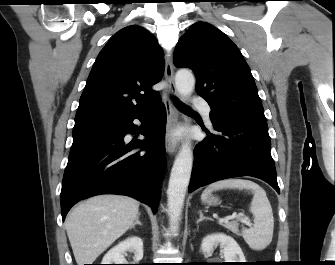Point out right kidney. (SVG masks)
Instances as JSON below:
<instances>
[{"instance_id": "obj_1", "label": "right kidney", "mask_w": 335, "mask_h": 265, "mask_svg": "<svg viewBox=\"0 0 335 265\" xmlns=\"http://www.w3.org/2000/svg\"><path fill=\"white\" fill-rule=\"evenodd\" d=\"M129 251L134 253V261L138 263L143 258V241L133 236L111 248L103 257L102 264H127L124 254Z\"/></svg>"}]
</instances>
